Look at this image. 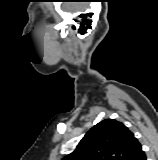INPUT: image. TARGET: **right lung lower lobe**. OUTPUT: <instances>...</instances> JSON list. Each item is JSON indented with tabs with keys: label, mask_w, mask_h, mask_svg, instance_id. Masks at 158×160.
<instances>
[{
	"label": "right lung lower lobe",
	"mask_w": 158,
	"mask_h": 160,
	"mask_svg": "<svg viewBox=\"0 0 158 160\" xmlns=\"http://www.w3.org/2000/svg\"><path fill=\"white\" fill-rule=\"evenodd\" d=\"M133 160H146L145 152L142 150L133 158Z\"/></svg>",
	"instance_id": "98d812e1"
}]
</instances>
